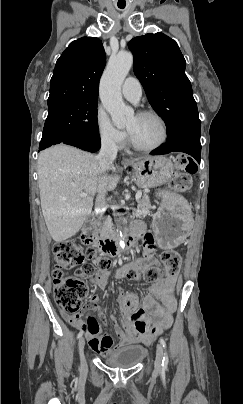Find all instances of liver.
<instances>
[{
  "instance_id": "obj_1",
  "label": "liver",
  "mask_w": 243,
  "mask_h": 404,
  "mask_svg": "<svg viewBox=\"0 0 243 404\" xmlns=\"http://www.w3.org/2000/svg\"><path fill=\"white\" fill-rule=\"evenodd\" d=\"M144 158H136L138 162ZM97 156L59 144L40 152L38 186L42 214L54 242H64L82 228L99 190ZM114 170L115 168H110ZM118 176H109L106 190H115ZM80 194H87L80 198Z\"/></svg>"
}]
</instances>
